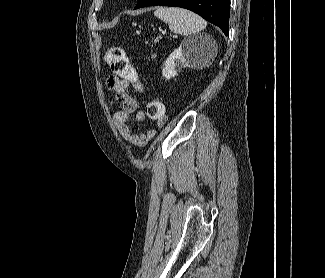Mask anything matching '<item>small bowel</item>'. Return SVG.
<instances>
[{
    "label": "small bowel",
    "instance_id": "obj_1",
    "mask_svg": "<svg viewBox=\"0 0 325 278\" xmlns=\"http://www.w3.org/2000/svg\"><path fill=\"white\" fill-rule=\"evenodd\" d=\"M106 84L121 105V108L114 115L115 125L128 143L132 144L136 149L143 148L153 138L154 131L148 130L143 133H136L130 128L129 121L131 117H134L139 122L145 119V113L139 108L137 101L128 94L130 83L117 76H109ZM163 122L164 120L159 123Z\"/></svg>",
    "mask_w": 325,
    "mask_h": 278
}]
</instances>
